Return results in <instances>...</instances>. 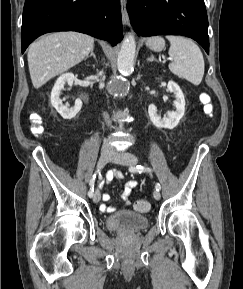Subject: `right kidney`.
<instances>
[{
	"mask_svg": "<svg viewBox=\"0 0 243 289\" xmlns=\"http://www.w3.org/2000/svg\"><path fill=\"white\" fill-rule=\"evenodd\" d=\"M75 77L73 73H65L61 75L55 82L54 87L51 91V104L56 109V111L64 119H72L82 108V101L77 99L75 101L74 107L69 108L66 105H63L62 99L60 98V93L64 89L65 83H68L69 86H72Z\"/></svg>",
	"mask_w": 243,
	"mask_h": 289,
	"instance_id": "ca27d5eb",
	"label": "right kidney"
}]
</instances>
